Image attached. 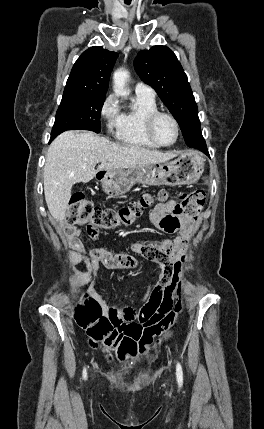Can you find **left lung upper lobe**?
<instances>
[{
    "label": "left lung upper lobe",
    "instance_id": "1",
    "mask_svg": "<svg viewBox=\"0 0 264 429\" xmlns=\"http://www.w3.org/2000/svg\"><path fill=\"white\" fill-rule=\"evenodd\" d=\"M134 67L176 118L187 146L207 148L190 84L175 54L166 46L156 45L140 51Z\"/></svg>",
    "mask_w": 264,
    "mask_h": 429
}]
</instances>
